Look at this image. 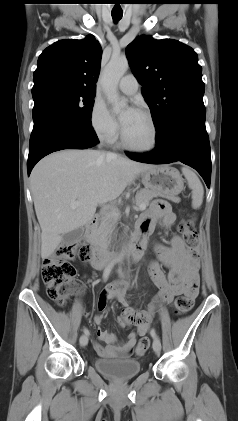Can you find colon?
Returning <instances> with one entry per match:
<instances>
[{"label": "colon", "mask_w": 238, "mask_h": 421, "mask_svg": "<svg viewBox=\"0 0 238 421\" xmlns=\"http://www.w3.org/2000/svg\"><path fill=\"white\" fill-rule=\"evenodd\" d=\"M179 231L183 235L189 249L190 256L197 260L199 258V235L192 222L185 219L179 224ZM75 254L83 261L91 257V250L87 245L61 244L50 256L43 261L42 278L46 285L47 294L50 299L63 305L70 295L80 288V282L75 279L76 271L68 258ZM193 302L184 296H179L175 301L176 314L183 315L189 312ZM133 314H131V317ZM150 346V339L143 336L138 341V355L144 353Z\"/></svg>", "instance_id": "obj_1"}]
</instances>
